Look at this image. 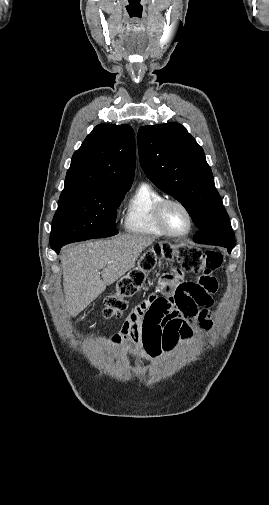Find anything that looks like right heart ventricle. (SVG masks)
Listing matches in <instances>:
<instances>
[{
	"mask_svg": "<svg viewBox=\"0 0 269 505\" xmlns=\"http://www.w3.org/2000/svg\"><path fill=\"white\" fill-rule=\"evenodd\" d=\"M163 196L150 184L141 183L125 207L124 228L132 234L162 237L165 234L154 218V208Z\"/></svg>",
	"mask_w": 269,
	"mask_h": 505,
	"instance_id": "1",
	"label": "right heart ventricle"
}]
</instances>
